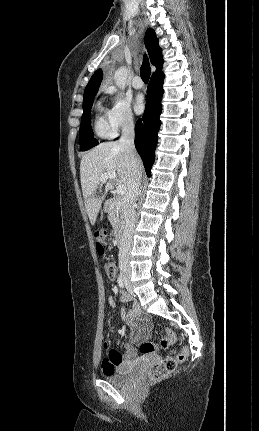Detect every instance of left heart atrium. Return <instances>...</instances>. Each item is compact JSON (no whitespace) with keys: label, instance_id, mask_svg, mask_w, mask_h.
Segmentation results:
<instances>
[{"label":"left heart atrium","instance_id":"left-heart-atrium-1","mask_svg":"<svg viewBox=\"0 0 259 431\" xmlns=\"http://www.w3.org/2000/svg\"><path fill=\"white\" fill-rule=\"evenodd\" d=\"M134 109L137 114H141L145 109V100L142 95H137L134 100Z\"/></svg>","mask_w":259,"mask_h":431}]
</instances>
